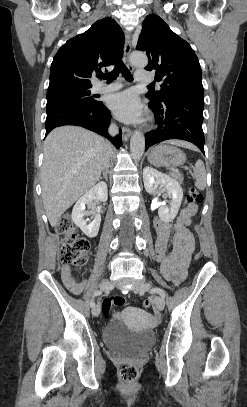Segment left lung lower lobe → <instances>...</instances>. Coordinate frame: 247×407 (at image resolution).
Masks as SVG:
<instances>
[{"mask_svg":"<svg viewBox=\"0 0 247 407\" xmlns=\"http://www.w3.org/2000/svg\"><path fill=\"white\" fill-rule=\"evenodd\" d=\"M149 106L155 114L158 128L146 134L145 151L164 140L182 139L192 142L204 153V98L172 95L162 104L150 103Z\"/></svg>","mask_w":247,"mask_h":407,"instance_id":"0a47b994","label":"left lung lower lobe"}]
</instances>
